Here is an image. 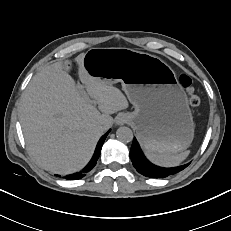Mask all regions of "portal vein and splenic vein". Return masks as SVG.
Instances as JSON below:
<instances>
[{
	"label": "portal vein and splenic vein",
	"instance_id": "portal-vein-and-splenic-vein-1",
	"mask_svg": "<svg viewBox=\"0 0 231 231\" xmlns=\"http://www.w3.org/2000/svg\"><path fill=\"white\" fill-rule=\"evenodd\" d=\"M79 90H80L81 95H82L86 100H89V96H88L87 93L84 91V89H83L82 86L79 87Z\"/></svg>",
	"mask_w": 231,
	"mask_h": 231
}]
</instances>
